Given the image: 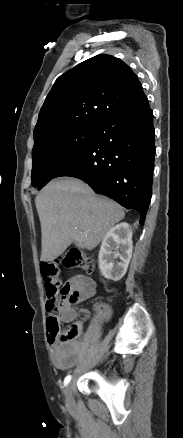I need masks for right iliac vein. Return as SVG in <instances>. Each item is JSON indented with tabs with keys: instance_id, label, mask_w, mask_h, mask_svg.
Returning <instances> with one entry per match:
<instances>
[{
	"instance_id": "1",
	"label": "right iliac vein",
	"mask_w": 183,
	"mask_h": 438,
	"mask_svg": "<svg viewBox=\"0 0 183 438\" xmlns=\"http://www.w3.org/2000/svg\"><path fill=\"white\" fill-rule=\"evenodd\" d=\"M65 403L69 409L73 408L74 406L72 383H70L65 390Z\"/></svg>"
}]
</instances>
